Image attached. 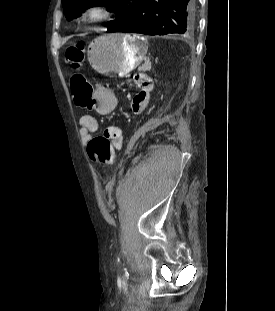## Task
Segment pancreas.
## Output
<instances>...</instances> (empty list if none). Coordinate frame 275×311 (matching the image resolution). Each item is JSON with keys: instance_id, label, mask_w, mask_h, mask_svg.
Here are the masks:
<instances>
[{"instance_id": "obj_1", "label": "pancreas", "mask_w": 275, "mask_h": 311, "mask_svg": "<svg viewBox=\"0 0 275 311\" xmlns=\"http://www.w3.org/2000/svg\"><path fill=\"white\" fill-rule=\"evenodd\" d=\"M149 66L150 65L145 62L142 66L139 67V71H145L149 68Z\"/></svg>"}]
</instances>
